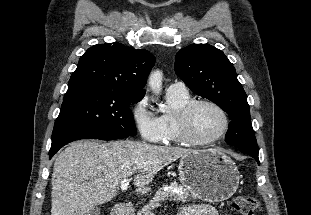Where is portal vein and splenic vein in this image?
<instances>
[{
    "instance_id": "portal-vein-and-splenic-vein-1",
    "label": "portal vein and splenic vein",
    "mask_w": 311,
    "mask_h": 215,
    "mask_svg": "<svg viewBox=\"0 0 311 215\" xmlns=\"http://www.w3.org/2000/svg\"><path fill=\"white\" fill-rule=\"evenodd\" d=\"M129 183H130V179L126 178V179H123L120 183V188L122 191H126L128 186H129ZM150 215H154V214H150Z\"/></svg>"
}]
</instances>
